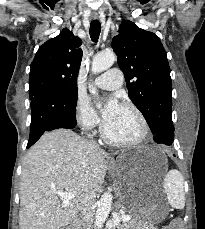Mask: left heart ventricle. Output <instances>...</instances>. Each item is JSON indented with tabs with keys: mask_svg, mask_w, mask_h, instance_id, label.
<instances>
[{
	"mask_svg": "<svg viewBox=\"0 0 205 229\" xmlns=\"http://www.w3.org/2000/svg\"><path fill=\"white\" fill-rule=\"evenodd\" d=\"M105 124L109 135L118 140L133 139L140 132V123L135 113L122 105Z\"/></svg>",
	"mask_w": 205,
	"mask_h": 229,
	"instance_id": "1",
	"label": "left heart ventricle"
}]
</instances>
